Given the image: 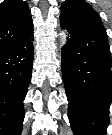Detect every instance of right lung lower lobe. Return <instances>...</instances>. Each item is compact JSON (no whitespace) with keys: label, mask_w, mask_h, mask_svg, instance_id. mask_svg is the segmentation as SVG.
<instances>
[{"label":"right lung lower lobe","mask_w":112,"mask_h":135,"mask_svg":"<svg viewBox=\"0 0 112 135\" xmlns=\"http://www.w3.org/2000/svg\"><path fill=\"white\" fill-rule=\"evenodd\" d=\"M33 30L0 51V135H20L23 101L31 79Z\"/></svg>","instance_id":"right-lung-lower-lobe-1"}]
</instances>
